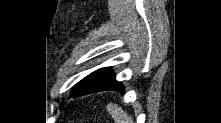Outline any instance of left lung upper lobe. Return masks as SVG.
Here are the masks:
<instances>
[{
  "label": "left lung upper lobe",
  "instance_id": "left-lung-upper-lobe-1",
  "mask_svg": "<svg viewBox=\"0 0 221 123\" xmlns=\"http://www.w3.org/2000/svg\"><path fill=\"white\" fill-rule=\"evenodd\" d=\"M101 70H103V69H99V70L91 73L90 75H88L87 77L82 79L80 82H78L74 87L75 91L78 90L80 87H82L87 81H89L92 77H94L96 74H98Z\"/></svg>",
  "mask_w": 221,
  "mask_h": 123
}]
</instances>
